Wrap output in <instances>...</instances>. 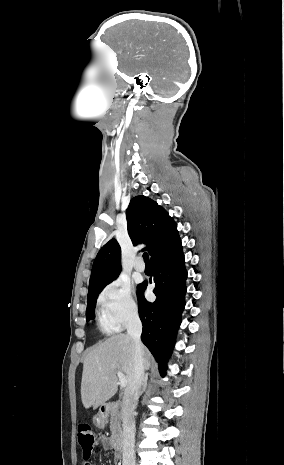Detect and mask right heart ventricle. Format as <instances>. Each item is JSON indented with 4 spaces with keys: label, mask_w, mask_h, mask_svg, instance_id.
I'll return each instance as SVG.
<instances>
[{
    "label": "right heart ventricle",
    "mask_w": 284,
    "mask_h": 465,
    "mask_svg": "<svg viewBox=\"0 0 284 465\" xmlns=\"http://www.w3.org/2000/svg\"><path fill=\"white\" fill-rule=\"evenodd\" d=\"M97 326L98 329L103 333H111L114 330L113 324L111 323L109 318L103 313L98 314Z\"/></svg>",
    "instance_id": "obj_1"
}]
</instances>
